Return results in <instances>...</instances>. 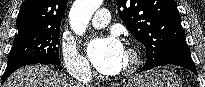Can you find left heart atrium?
I'll return each mask as SVG.
<instances>
[{"instance_id": "39dd6f15", "label": "left heart atrium", "mask_w": 205, "mask_h": 87, "mask_svg": "<svg viewBox=\"0 0 205 87\" xmlns=\"http://www.w3.org/2000/svg\"><path fill=\"white\" fill-rule=\"evenodd\" d=\"M87 52L99 72L113 75L121 68L125 49L121 42L112 36L90 42Z\"/></svg>"}]
</instances>
